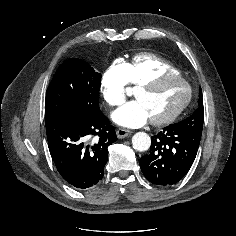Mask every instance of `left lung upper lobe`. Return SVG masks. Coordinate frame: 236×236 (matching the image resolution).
<instances>
[{"instance_id":"obj_1","label":"left lung upper lobe","mask_w":236,"mask_h":236,"mask_svg":"<svg viewBox=\"0 0 236 236\" xmlns=\"http://www.w3.org/2000/svg\"><path fill=\"white\" fill-rule=\"evenodd\" d=\"M199 107L193 112V114L186 118L185 120L172 124L179 128H184L188 130H192L202 134L203 129V121H204V108L202 103V91L199 90Z\"/></svg>"}]
</instances>
